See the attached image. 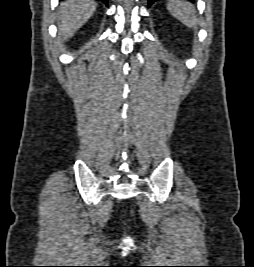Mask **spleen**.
Wrapping results in <instances>:
<instances>
[{"label": "spleen", "instance_id": "obj_1", "mask_svg": "<svg viewBox=\"0 0 254 267\" xmlns=\"http://www.w3.org/2000/svg\"><path fill=\"white\" fill-rule=\"evenodd\" d=\"M167 9L184 25L188 27H193L196 25V10L191 3L184 0H169Z\"/></svg>", "mask_w": 254, "mask_h": 267}]
</instances>
